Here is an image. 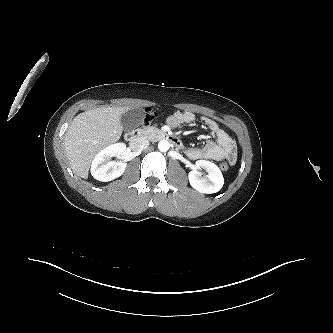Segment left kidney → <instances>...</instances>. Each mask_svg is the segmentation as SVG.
Listing matches in <instances>:
<instances>
[{
    "label": "left kidney",
    "instance_id": "left-kidney-1",
    "mask_svg": "<svg viewBox=\"0 0 333 333\" xmlns=\"http://www.w3.org/2000/svg\"><path fill=\"white\" fill-rule=\"evenodd\" d=\"M202 169L208 173L207 178L202 177V173L199 171ZM188 178L190 185L195 190L206 194L218 192L224 184V178L220 169L207 160L196 161L195 169L189 173Z\"/></svg>",
    "mask_w": 333,
    "mask_h": 333
}]
</instances>
